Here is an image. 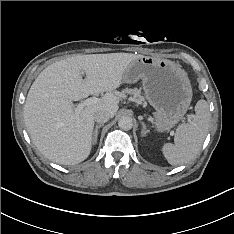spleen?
<instances>
[{"label": "spleen", "mask_w": 234, "mask_h": 234, "mask_svg": "<svg viewBox=\"0 0 234 234\" xmlns=\"http://www.w3.org/2000/svg\"><path fill=\"white\" fill-rule=\"evenodd\" d=\"M195 115L189 123L178 126L174 144L166 143L162 152L169 164L183 165L191 161L200 151L210 125L208 103L199 100L195 105Z\"/></svg>", "instance_id": "spleen-1"}]
</instances>
